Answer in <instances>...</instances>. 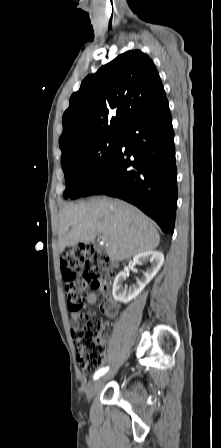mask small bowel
<instances>
[{
    "mask_svg": "<svg viewBox=\"0 0 221 448\" xmlns=\"http://www.w3.org/2000/svg\"><path fill=\"white\" fill-rule=\"evenodd\" d=\"M99 290L104 293V299L99 305L101 312L107 317H114L117 314V306L114 298L108 292L106 286H101ZM87 302L91 305L95 304L97 302V295L95 293H90L87 297ZM83 316L84 315L81 312H72L71 318L73 324L77 325Z\"/></svg>",
    "mask_w": 221,
    "mask_h": 448,
    "instance_id": "obj_1",
    "label": "small bowel"
}]
</instances>
